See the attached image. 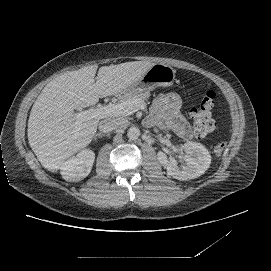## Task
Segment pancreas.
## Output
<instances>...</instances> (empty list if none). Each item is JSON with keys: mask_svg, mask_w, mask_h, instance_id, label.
Returning a JSON list of instances; mask_svg holds the SVG:
<instances>
[{"mask_svg": "<svg viewBox=\"0 0 271 271\" xmlns=\"http://www.w3.org/2000/svg\"><path fill=\"white\" fill-rule=\"evenodd\" d=\"M148 97H150V94L148 92H136L123 95L122 97H120L119 101L120 103L131 100H142L144 102L147 100Z\"/></svg>", "mask_w": 271, "mask_h": 271, "instance_id": "cf45deb5", "label": "pancreas"}]
</instances>
